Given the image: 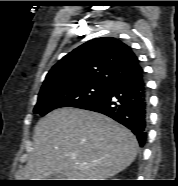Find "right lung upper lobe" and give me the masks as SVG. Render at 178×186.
Instances as JSON below:
<instances>
[{"label":"right lung upper lobe","instance_id":"right-lung-upper-lobe-1","mask_svg":"<svg viewBox=\"0 0 178 186\" xmlns=\"http://www.w3.org/2000/svg\"><path fill=\"white\" fill-rule=\"evenodd\" d=\"M140 69L132 49L118 39L90 40L64 56L46 75L41 91L89 83L110 84Z\"/></svg>","mask_w":178,"mask_h":186}]
</instances>
